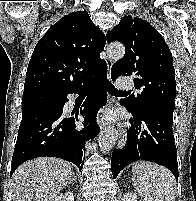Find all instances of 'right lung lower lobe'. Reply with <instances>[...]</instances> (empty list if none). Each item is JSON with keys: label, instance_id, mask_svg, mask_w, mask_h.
Instances as JSON below:
<instances>
[{"label": "right lung lower lobe", "instance_id": "right-lung-lower-lobe-1", "mask_svg": "<svg viewBox=\"0 0 196 201\" xmlns=\"http://www.w3.org/2000/svg\"><path fill=\"white\" fill-rule=\"evenodd\" d=\"M107 72L101 70L86 84L59 95L56 106H36L22 110V121L12 157L11 175L23 162L42 156L57 157L74 163L81 171L83 167V147L85 142L95 138L100 131L96 123L97 111L105 105L107 93L103 82ZM88 92L80 113L85 127L76 128L78 114H63L64 104L69 93Z\"/></svg>", "mask_w": 196, "mask_h": 201}]
</instances>
